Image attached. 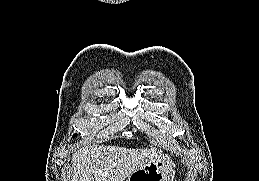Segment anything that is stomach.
I'll list each match as a JSON object with an SVG mask.
<instances>
[{
  "instance_id": "stomach-1",
  "label": "stomach",
  "mask_w": 259,
  "mask_h": 181,
  "mask_svg": "<svg viewBox=\"0 0 259 181\" xmlns=\"http://www.w3.org/2000/svg\"><path fill=\"white\" fill-rule=\"evenodd\" d=\"M173 172V162L166 156L152 160L134 171L127 181H169Z\"/></svg>"
}]
</instances>
